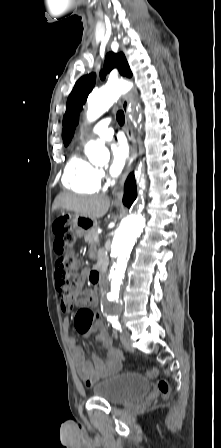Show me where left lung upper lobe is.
<instances>
[{"label": "left lung upper lobe", "mask_w": 221, "mask_h": 448, "mask_svg": "<svg viewBox=\"0 0 221 448\" xmlns=\"http://www.w3.org/2000/svg\"><path fill=\"white\" fill-rule=\"evenodd\" d=\"M114 67H117L120 74L131 77L128 62L123 53H108L105 58L104 70L100 72V78L104 79L106 73H109ZM96 74L92 73L81 77L75 84L73 91L67 100V110L63 118L62 137L64 145L67 146L71 141L74 130L79 121V114L86 102L87 96L95 85Z\"/></svg>", "instance_id": "1"}]
</instances>
